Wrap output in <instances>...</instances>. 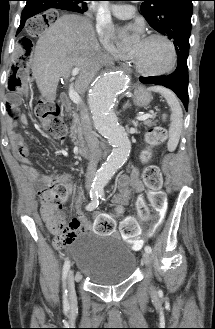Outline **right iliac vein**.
I'll list each match as a JSON object with an SVG mask.
<instances>
[{
	"instance_id": "right-iliac-vein-1",
	"label": "right iliac vein",
	"mask_w": 215,
	"mask_h": 329,
	"mask_svg": "<svg viewBox=\"0 0 215 329\" xmlns=\"http://www.w3.org/2000/svg\"><path fill=\"white\" fill-rule=\"evenodd\" d=\"M67 285H68L69 299L71 303H73L76 299V294H75V280L72 270H70L68 273Z\"/></svg>"
}]
</instances>
